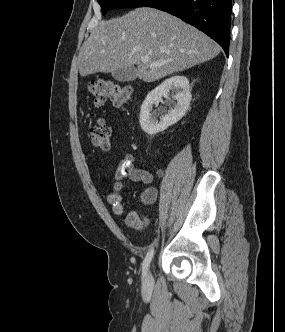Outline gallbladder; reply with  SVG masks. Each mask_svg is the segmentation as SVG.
I'll return each mask as SVG.
<instances>
[{
  "label": "gallbladder",
  "instance_id": "1",
  "mask_svg": "<svg viewBox=\"0 0 285 332\" xmlns=\"http://www.w3.org/2000/svg\"><path fill=\"white\" fill-rule=\"evenodd\" d=\"M112 77L119 82H130L136 79V69L134 67L116 68L112 73Z\"/></svg>",
  "mask_w": 285,
  "mask_h": 332
}]
</instances>
